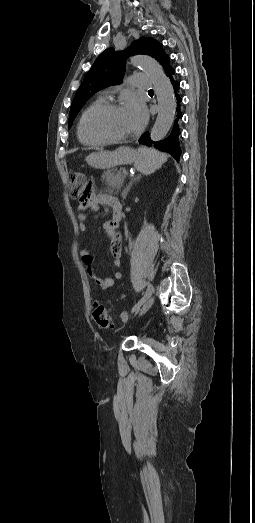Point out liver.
Masks as SVG:
<instances>
[{"instance_id":"obj_1","label":"liver","mask_w":255,"mask_h":523,"mask_svg":"<svg viewBox=\"0 0 255 523\" xmlns=\"http://www.w3.org/2000/svg\"><path fill=\"white\" fill-rule=\"evenodd\" d=\"M112 154L113 152H96V154H89L86 158V162L89 166H92V168H97L99 162H101L102 156H108V158H110Z\"/></svg>"}]
</instances>
